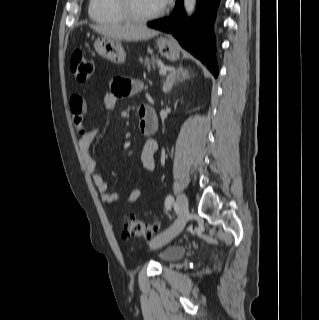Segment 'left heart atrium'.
I'll return each mask as SVG.
<instances>
[{"instance_id": "39dd6f15", "label": "left heart atrium", "mask_w": 319, "mask_h": 320, "mask_svg": "<svg viewBox=\"0 0 319 320\" xmlns=\"http://www.w3.org/2000/svg\"><path fill=\"white\" fill-rule=\"evenodd\" d=\"M169 1H170V0H156L158 6H159L160 8L166 7V6L168 5Z\"/></svg>"}]
</instances>
